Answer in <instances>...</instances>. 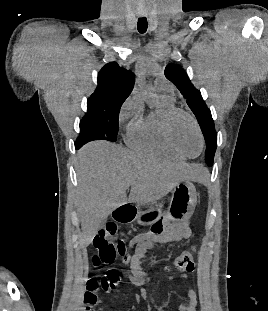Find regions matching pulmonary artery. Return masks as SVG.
<instances>
[{
  "label": "pulmonary artery",
  "instance_id": "e3ab8cb5",
  "mask_svg": "<svg viewBox=\"0 0 268 311\" xmlns=\"http://www.w3.org/2000/svg\"><path fill=\"white\" fill-rule=\"evenodd\" d=\"M154 88L156 91L165 93L166 95L170 96L173 91L172 86L166 80L163 79L156 80L154 82Z\"/></svg>",
  "mask_w": 268,
  "mask_h": 311
}]
</instances>
